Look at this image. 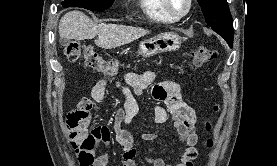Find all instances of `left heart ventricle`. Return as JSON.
<instances>
[{
  "instance_id": "obj_1",
  "label": "left heart ventricle",
  "mask_w": 277,
  "mask_h": 166,
  "mask_svg": "<svg viewBox=\"0 0 277 166\" xmlns=\"http://www.w3.org/2000/svg\"><path fill=\"white\" fill-rule=\"evenodd\" d=\"M171 8L177 12H183L187 7V0H169Z\"/></svg>"
}]
</instances>
